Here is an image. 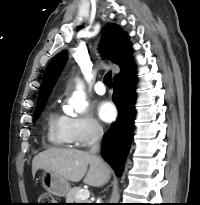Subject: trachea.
Listing matches in <instances>:
<instances>
[{
    "label": "trachea",
    "mask_w": 200,
    "mask_h": 205,
    "mask_svg": "<svg viewBox=\"0 0 200 205\" xmlns=\"http://www.w3.org/2000/svg\"><path fill=\"white\" fill-rule=\"evenodd\" d=\"M104 83L111 87L112 86V72L109 71L105 76H104Z\"/></svg>",
    "instance_id": "obj_1"
}]
</instances>
